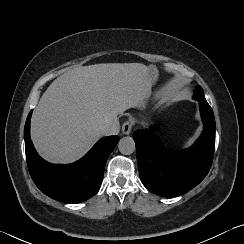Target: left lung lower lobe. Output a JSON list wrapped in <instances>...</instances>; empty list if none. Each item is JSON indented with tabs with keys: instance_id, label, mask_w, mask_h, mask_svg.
Returning <instances> with one entry per match:
<instances>
[{
	"instance_id": "0a47b994",
	"label": "left lung lower lobe",
	"mask_w": 244,
	"mask_h": 244,
	"mask_svg": "<svg viewBox=\"0 0 244 244\" xmlns=\"http://www.w3.org/2000/svg\"><path fill=\"white\" fill-rule=\"evenodd\" d=\"M204 130L197 142L181 152L167 150L151 129L133 134L139 175L152 192L172 197L198 185L207 175L215 149V120L210 106L199 101ZM213 114V117H212Z\"/></svg>"
}]
</instances>
